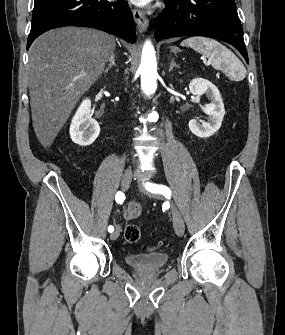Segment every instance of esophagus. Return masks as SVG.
Listing matches in <instances>:
<instances>
[{"label":"esophagus","instance_id":"1","mask_svg":"<svg viewBox=\"0 0 285 335\" xmlns=\"http://www.w3.org/2000/svg\"><path fill=\"white\" fill-rule=\"evenodd\" d=\"M133 16H134V20H135L139 30L141 32H144L145 30H147L148 25H149V21H148L147 17L144 15V13L141 12L140 10L134 9L133 10Z\"/></svg>","mask_w":285,"mask_h":335}]
</instances>
